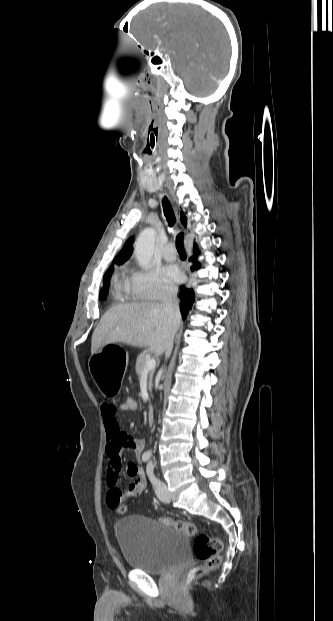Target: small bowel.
<instances>
[{"instance_id":"small-bowel-1","label":"small bowel","mask_w":333,"mask_h":621,"mask_svg":"<svg viewBox=\"0 0 333 621\" xmlns=\"http://www.w3.org/2000/svg\"><path fill=\"white\" fill-rule=\"evenodd\" d=\"M117 408L112 403L101 404V414L107 435L106 452L108 455L107 473V505L115 509L119 503L141 494L146 487V478L142 468L135 462H127L123 468L120 454L123 449H130L139 461L144 449L142 438L132 437L120 430ZM131 480L130 484L121 489L118 485L122 472Z\"/></svg>"}]
</instances>
